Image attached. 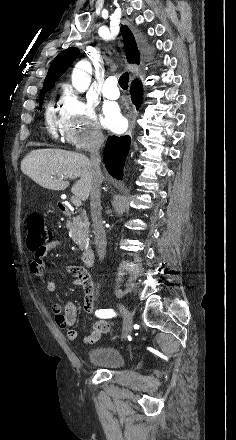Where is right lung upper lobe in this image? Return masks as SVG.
<instances>
[{"label": "right lung upper lobe", "instance_id": "cb5924a9", "mask_svg": "<svg viewBox=\"0 0 236 440\" xmlns=\"http://www.w3.org/2000/svg\"><path fill=\"white\" fill-rule=\"evenodd\" d=\"M121 33L124 39V46L126 48V58L129 63H140V48L137 45L135 37L131 30L126 26H121ZM79 54L76 47H70L61 52L52 62L48 74L45 78L44 86L41 90L40 96L45 94L47 89H51L58 78L68 69L74 59Z\"/></svg>", "mask_w": 236, "mask_h": 440}]
</instances>
